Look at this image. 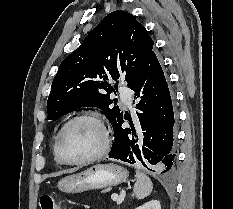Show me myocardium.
Masks as SVG:
<instances>
[{"label":"myocardium","mask_w":233,"mask_h":209,"mask_svg":"<svg viewBox=\"0 0 233 209\" xmlns=\"http://www.w3.org/2000/svg\"><path fill=\"white\" fill-rule=\"evenodd\" d=\"M80 120L93 121L100 127V129L102 131V135H103L102 145L98 151H96L94 154H92L90 156H87V157H84L81 159H77V160H69V159L65 158L61 153V141H62L63 135H64L65 131L67 130V128L71 124H73L74 122H77ZM110 143H111L110 133L108 131V128L106 126V123H105L103 117L95 112H82V113H79V114L71 117L69 120H67L64 123V125L61 127V129L59 130L57 137H56V140H55V155H56L57 159L63 164L83 165V164H87V163L96 161V160L100 159L101 157H103L108 152L109 147H110Z\"/></svg>","instance_id":"obj_1"}]
</instances>
